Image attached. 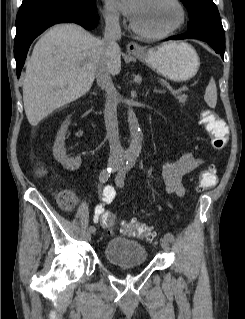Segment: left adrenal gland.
<instances>
[{
    "label": "left adrenal gland",
    "instance_id": "1",
    "mask_svg": "<svg viewBox=\"0 0 245 319\" xmlns=\"http://www.w3.org/2000/svg\"><path fill=\"white\" fill-rule=\"evenodd\" d=\"M154 92L156 93H162L163 91L162 90H157L156 88L154 89Z\"/></svg>",
    "mask_w": 245,
    "mask_h": 319
}]
</instances>
